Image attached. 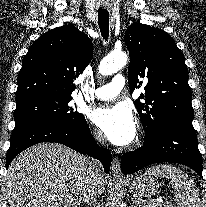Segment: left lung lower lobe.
<instances>
[{
    "mask_svg": "<svg viewBox=\"0 0 206 207\" xmlns=\"http://www.w3.org/2000/svg\"><path fill=\"white\" fill-rule=\"evenodd\" d=\"M157 162L186 165L202 176V157L192 121H175L144 140L135 151L125 153L122 173L127 175Z\"/></svg>",
    "mask_w": 206,
    "mask_h": 207,
    "instance_id": "0a47b994",
    "label": "left lung lower lobe"
}]
</instances>
